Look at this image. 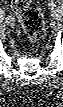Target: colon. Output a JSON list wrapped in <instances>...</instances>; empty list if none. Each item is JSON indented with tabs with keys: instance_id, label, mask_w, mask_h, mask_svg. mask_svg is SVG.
Segmentation results:
<instances>
[{
	"instance_id": "obj_1",
	"label": "colon",
	"mask_w": 63,
	"mask_h": 107,
	"mask_svg": "<svg viewBox=\"0 0 63 107\" xmlns=\"http://www.w3.org/2000/svg\"><path fill=\"white\" fill-rule=\"evenodd\" d=\"M12 8L18 15L28 40L31 43H37L44 33V22L40 9L29 0H13Z\"/></svg>"
}]
</instances>
